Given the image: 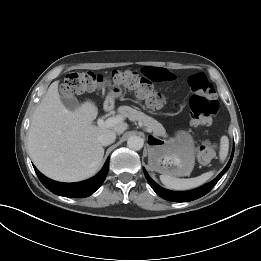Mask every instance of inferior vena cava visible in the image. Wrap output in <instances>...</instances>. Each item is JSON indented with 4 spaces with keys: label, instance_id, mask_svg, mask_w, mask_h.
I'll use <instances>...</instances> for the list:
<instances>
[{
    "label": "inferior vena cava",
    "instance_id": "obj_1",
    "mask_svg": "<svg viewBox=\"0 0 261 261\" xmlns=\"http://www.w3.org/2000/svg\"><path fill=\"white\" fill-rule=\"evenodd\" d=\"M115 139L116 133L113 131H108L99 137V142L102 146H108L112 144L115 141Z\"/></svg>",
    "mask_w": 261,
    "mask_h": 261
}]
</instances>
